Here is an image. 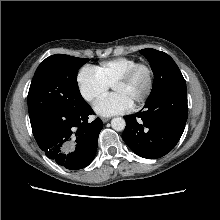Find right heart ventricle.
<instances>
[{"label":"right heart ventricle","instance_id":"1","mask_svg":"<svg viewBox=\"0 0 220 220\" xmlns=\"http://www.w3.org/2000/svg\"><path fill=\"white\" fill-rule=\"evenodd\" d=\"M137 63L138 61L133 58L117 57L103 61L92 68L95 74L110 87L118 78Z\"/></svg>","mask_w":220,"mask_h":220}]
</instances>
